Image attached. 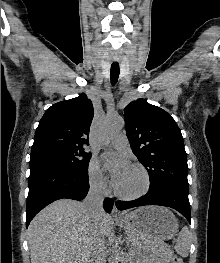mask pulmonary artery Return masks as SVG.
<instances>
[{"label":"pulmonary artery","instance_id":"1","mask_svg":"<svg viewBox=\"0 0 220 263\" xmlns=\"http://www.w3.org/2000/svg\"><path fill=\"white\" fill-rule=\"evenodd\" d=\"M110 143L115 148H124L128 145V139L124 133H120L110 140Z\"/></svg>","mask_w":220,"mask_h":263}]
</instances>
